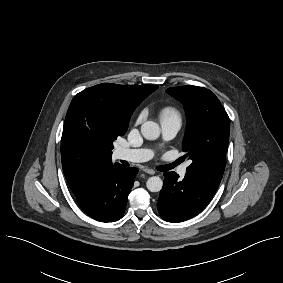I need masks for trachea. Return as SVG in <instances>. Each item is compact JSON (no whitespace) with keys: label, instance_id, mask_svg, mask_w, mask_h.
<instances>
[{"label":"trachea","instance_id":"1","mask_svg":"<svg viewBox=\"0 0 283 283\" xmlns=\"http://www.w3.org/2000/svg\"><path fill=\"white\" fill-rule=\"evenodd\" d=\"M178 164H179V161H176V162H174L172 164H169V165L159 166V167H157V170H159V171H168L170 169H173Z\"/></svg>","mask_w":283,"mask_h":283}]
</instances>
